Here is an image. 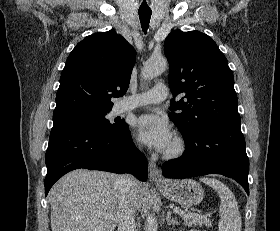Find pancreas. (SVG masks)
<instances>
[{
  "label": "pancreas",
  "mask_w": 280,
  "mask_h": 231,
  "mask_svg": "<svg viewBox=\"0 0 280 231\" xmlns=\"http://www.w3.org/2000/svg\"><path fill=\"white\" fill-rule=\"evenodd\" d=\"M184 215L183 219L185 221V225H200V227H203V225H206V227H211L212 221L209 219L208 215H202V213H193V211H184L182 213Z\"/></svg>",
  "instance_id": "obj_1"
}]
</instances>
